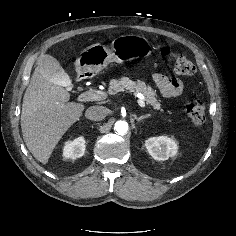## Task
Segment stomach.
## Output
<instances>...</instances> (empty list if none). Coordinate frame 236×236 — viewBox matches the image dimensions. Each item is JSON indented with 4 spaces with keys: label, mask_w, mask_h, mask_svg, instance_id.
<instances>
[{
    "label": "stomach",
    "mask_w": 236,
    "mask_h": 236,
    "mask_svg": "<svg viewBox=\"0 0 236 236\" xmlns=\"http://www.w3.org/2000/svg\"><path fill=\"white\" fill-rule=\"evenodd\" d=\"M152 54L150 42L140 35H121L113 39L110 48L94 44L84 49L76 60V71L80 75H92L111 62L123 63Z\"/></svg>",
    "instance_id": "obj_1"
}]
</instances>
